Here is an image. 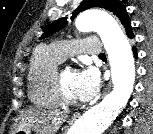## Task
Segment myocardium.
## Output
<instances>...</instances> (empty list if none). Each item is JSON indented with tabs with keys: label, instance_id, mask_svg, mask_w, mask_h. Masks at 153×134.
I'll return each instance as SVG.
<instances>
[{
	"label": "myocardium",
	"instance_id": "1",
	"mask_svg": "<svg viewBox=\"0 0 153 134\" xmlns=\"http://www.w3.org/2000/svg\"><path fill=\"white\" fill-rule=\"evenodd\" d=\"M54 86H55L56 94H57V96H58V98H59V100L62 104L74 105V104L77 103L76 99L70 98L65 93V91L63 89L62 82L59 78V72L58 71H55V74H54Z\"/></svg>",
	"mask_w": 153,
	"mask_h": 134
}]
</instances>
